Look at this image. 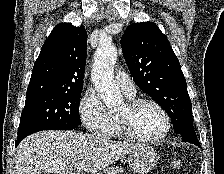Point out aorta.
<instances>
[{"mask_svg": "<svg viewBox=\"0 0 224 174\" xmlns=\"http://www.w3.org/2000/svg\"><path fill=\"white\" fill-rule=\"evenodd\" d=\"M117 49L111 43H100L94 57L91 80L108 108L123 102V95L114 80Z\"/></svg>", "mask_w": 224, "mask_h": 174, "instance_id": "762f6f07", "label": "aorta"}]
</instances>
